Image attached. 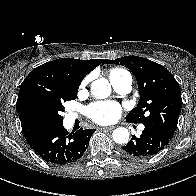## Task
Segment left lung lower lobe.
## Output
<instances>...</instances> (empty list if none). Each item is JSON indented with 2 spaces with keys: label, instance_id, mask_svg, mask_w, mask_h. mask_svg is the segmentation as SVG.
<instances>
[{
  "label": "left lung lower lobe",
  "instance_id": "0a47b994",
  "mask_svg": "<svg viewBox=\"0 0 196 196\" xmlns=\"http://www.w3.org/2000/svg\"><path fill=\"white\" fill-rule=\"evenodd\" d=\"M144 126L145 129L140 137L133 136L132 139L122 147L123 155L135 158L150 157L163 150L172 139V137L155 125L144 124Z\"/></svg>",
  "mask_w": 196,
  "mask_h": 196
}]
</instances>
